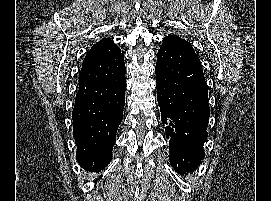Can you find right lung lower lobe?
I'll list each match as a JSON object with an SVG mask.
<instances>
[{"label":"right lung lower lobe","mask_w":271,"mask_h":201,"mask_svg":"<svg viewBox=\"0 0 271 201\" xmlns=\"http://www.w3.org/2000/svg\"><path fill=\"white\" fill-rule=\"evenodd\" d=\"M104 39L83 60L72 112L76 159L80 166L96 171L112 159L125 104L124 55L112 40Z\"/></svg>","instance_id":"98d812e1"}]
</instances>
